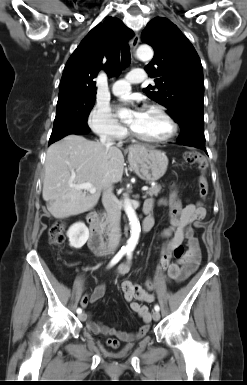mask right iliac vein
I'll use <instances>...</instances> for the list:
<instances>
[{"label":"right iliac vein","mask_w":247,"mask_h":385,"mask_svg":"<svg viewBox=\"0 0 247 385\" xmlns=\"http://www.w3.org/2000/svg\"><path fill=\"white\" fill-rule=\"evenodd\" d=\"M79 319H80L81 321L86 320V314H85V313L80 314V315H79Z\"/></svg>","instance_id":"63e3f726"}]
</instances>
